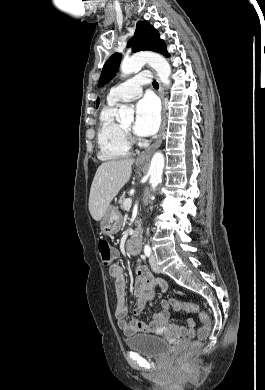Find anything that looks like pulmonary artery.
<instances>
[{
  "label": "pulmonary artery",
  "mask_w": 265,
  "mask_h": 390,
  "mask_svg": "<svg viewBox=\"0 0 265 390\" xmlns=\"http://www.w3.org/2000/svg\"><path fill=\"white\" fill-rule=\"evenodd\" d=\"M151 82L148 72H141L117 86H114L108 94V102L120 103L137 99L142 94V86Z\"/></svg>",
  "instance_id": "pulmonary-artery-1"
}]
</instances>
